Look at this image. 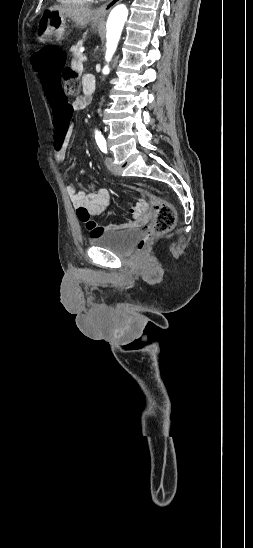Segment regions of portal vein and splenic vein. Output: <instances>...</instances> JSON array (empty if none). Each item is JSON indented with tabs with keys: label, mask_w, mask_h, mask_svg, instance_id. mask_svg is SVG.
Instances as JSON below:
<instances>
[{
	"label": "portal vein and splenic vein",
	"mask_w": 253,
	"mask_h": 548,
	"mask_svg": "<svg viewBox=\"0 0 253 548\" xmlns=\"http://www.w3.org/2000/svg\"><path fill=\"white\" fill-rule=\"evenodd\" d=\"M81 60H82V61H86V60H87V57H86V56H82V57H81Z\"/></svg>",
	"instance_id": "obj_1"
}]
</instances>
